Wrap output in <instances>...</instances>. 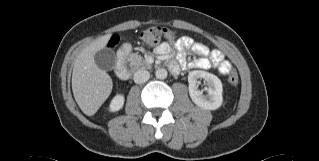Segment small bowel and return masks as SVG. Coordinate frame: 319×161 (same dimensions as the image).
<instances>
[{
  "label": "small bowel",
  "mask_w": 319,
  "mask_h": 161,
  "mask_svg": "<svg viewBox=\"0 0 319 161\" xmlns=\"http://www.w3.org/2000/svg\"><path fill=\"white\" fill-rule=\"evenodd\" d=\"M177 59L179 64L171 62L169 67L173 73L179 71L180 65L184 68L208 69L216 67L222 75H228L233 71L232 64L220 50H210L206 45L194 42L190 37L184 36L176 43ZM191 50L198 57L190 62L186 60V53ZM156 53L166 56L170 53V46L161 43L156 47Z\"/></svg>",
  "instance_id": "c3829d8e"
}]
</instances>
